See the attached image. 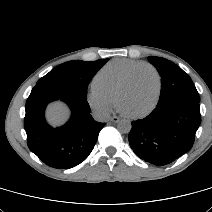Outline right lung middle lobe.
Listing matches in <instances>:
<instances>
[{
    "label": "right lung middle lobe",
    "mask_w": 212,
    "mask_h": 212,
    "mask_svg": "<svg viewBox=\"0 0 212 212\" xmlns=\"http://www.w3.org/2000/svg\"><path fill=\"white\" fill-rule=\"evenodd\" d=\"M107 61L108 59L65 62L40 78L34 88L67 89L86 96L90 80Z\"/></svg>",
    "instance_id": "dd1d6c3e"
}]
</instances>
